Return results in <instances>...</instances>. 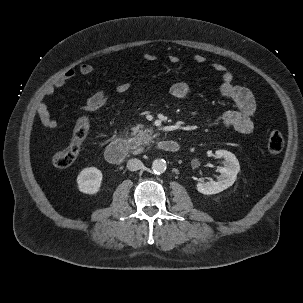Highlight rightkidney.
Here are the masks:
<instances>
[{"label": "right kidney", "instance_id": "right-kidney-1", "mask_svg": "<svg viewBox=\"0 0 303 303\" xmlns=\"http://www.w3.org/2000/svg\"><path fill=\"white\" fill-rule=\"evenodd\" d=\"M102 172L95 167L84 168L77 177L78 189L85 194H96L101 187Z\"/></svg>", "mask_w": 303, "mask_h": 303}]
</instances>
